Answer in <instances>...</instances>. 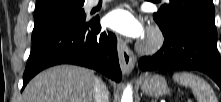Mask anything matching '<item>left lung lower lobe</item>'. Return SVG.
<instances>
[{
  "label": "left lung lower lobe",
  "instance_id": "left-lung-lower-lobe-1",
  "mask_svg": "<svg viewBox=\"0 0 221 102\" xmlns=\"http://www.w3.org/2000/svg\"><path fill=\"white\" fill-rule=\"evenodd\" d=\"M163 35L162 48L155 55L140 59L141 71L199 70L221 87V59L215 43L216 34L192 23H181Z\"/></svg>",
  "mask_w": 221,
  "mask_h": 102
}]
</instances>
